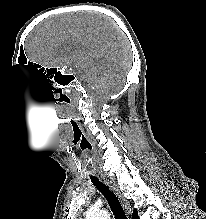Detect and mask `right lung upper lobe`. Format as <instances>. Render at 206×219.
I'll list each match as a JSON object with an SVG mask.
<instances>
[{
	"instance_id": "cb5924a9",
	"label": "right lung upper lobe",
	"mask_w": 206,
	"mask_h": 219,
	"mask_svg": "<svg viewBox=\"0 0 206 219\" xmlns=\"http://www.w3.org/2000/svg\"><path fill=\"white\" fill-rule=\"evenodd\" d=\"M132 219H138V211L137 210L133 211Z\"/></svg>"
}]
</instances>
